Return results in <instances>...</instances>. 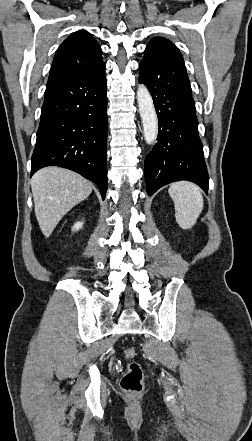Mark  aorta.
<instances>
[{
	"instance_id": "762f6f07",
	"label": "aorta",
	"mask_w": 252,
	"mask_h": 441,
	"mask_svg": "<svg viewBox=\"0 0 252 441\" xmlns=\"http://www.w3.org/2000/svg\"><path fill=\"white\" fill-rule=\"evenodd\" d=\"M137 103L143 125L144 139L151 145L156 141L158 134V120L152 97L144 85L137 90Z\"/></svg>"
}]
</instances>
